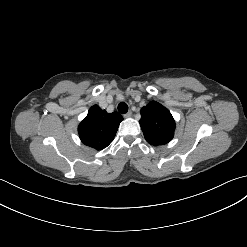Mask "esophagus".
Returning <instances> with one entry per match:
<instances>
[{"label":"esophagus","mask_w":247,"mask_h":247,"mask_svg":"<svg viewBox=\"0 0 247 247\" xmlns=\"http://www.w3.org/2000/svg\"><path fill=\"white\" fill-rule=\"evenodd\" d=\"M132 116V111H128L126 114H124L125 118H129Z\"/></svg>","instance_id":"1"}]
</instances>
